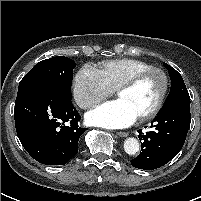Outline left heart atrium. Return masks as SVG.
Returning a JSON list of instances; mask_svg holds the SVG:
<instances>
[{
  "label": "left heart atrium",
  "instance_id": "left-heart-atrium-1",
  "mask_svg": "<svg viewBox=\"0 0 201 201\" xmlns=\"http://www.w3.org/2000/svg\"><path fill=\"white\" fill-rule=\"evenodd\" d=\"M138 116L121 99L107 102L86 115L88 123L108 129H120L131 126Z\"/></svg>",
  "mask_w": 201,
  "mask_h": 201
}]
</instances>
